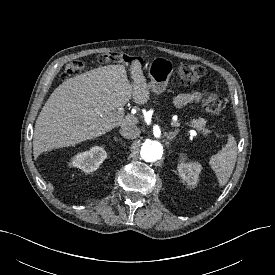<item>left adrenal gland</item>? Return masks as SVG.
<instances>
[{"mask_svg":"<svg viewBox=\"0 0 275 275\" xmlns=\"http://www.w3.org/2000/svg\"><path fill=\"white\" fill-rule=\"evenodd\" d=\"M178 132H179L178 129L173 132H169V134H167V139L172 141L175 138V136L178 134Z\"/></svg>","mask_w":275,"mask_h":275,"instance_id":"a2214340","label":"left adrenal gland"}]
</instances>
